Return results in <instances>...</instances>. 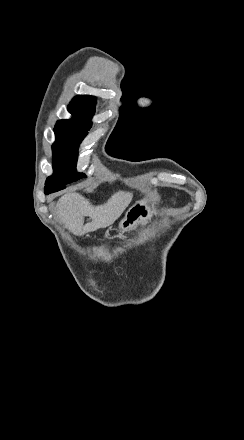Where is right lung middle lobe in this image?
Masks as SVG:
<instances>
[{
  "label": "right lung middle lobe",
  "mask_w": 244,
  "mask_h": 440,
  "mask_svg": "<svg viewBox=\"0 0 244 440\" xmlns=\"http://www.w3.org/2000/svg\"><path fill=\"white\" fill-rule=\"evenodd\" d=\"M69 111L73 118L58 121L54 129L56 135V142L52 146L54 173L47 178L45 185L69 184L86 177L85 174L76 172L78 147L92 126L90 119L95 110L69 109Z\"/></svg>",
  "instance_id": "right-lung-middle-lobe-1"
}]
</instances>
